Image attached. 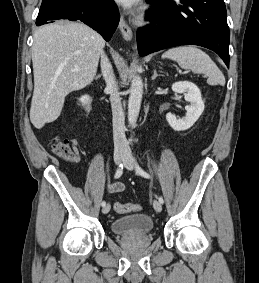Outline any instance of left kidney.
Masks as SVG:
<instances>
[{
	"mask_svg": "<svg viewBox=\"0 0 259 283\" xmlns=\"http://www.w3.org/2000/svg\"><path fill=\"white\" fill-rule=\"evenodd\" d=\"M172 90L177 93H184L185 100L190 103L186 106V116L177 119L173 114L168 113L166 120L175 131H185L193 126L204 111V102L199 88L192 82L179 81L172 85Z\"/></svg>",
	"mask_w": 259,
	"mask_h": 283,
	"instance_id": "5707ae66",
	"label": "left kidney"
}]
</instances>
